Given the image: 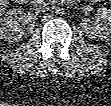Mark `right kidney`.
Segmentation results:
<instances>
[{"instance_id":"right-kidney-1","label":"right kidney","mask_w":111,"mask_h":106,"mask_svg":"<svg viewBox=\"0 0 111 106\" xmlns=\"http://www.w3.org/2000/svg\"><path fill=\"white\" fill-rule=\"evenodd\" d=\"M35 16L31 12H24L21 7L10 9L1 19V39L7 42L20 41L32 33Z\"/></svg>"}]
</instances>
